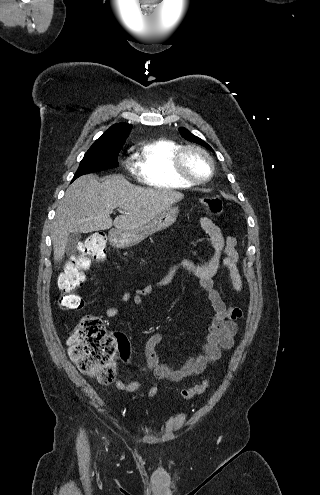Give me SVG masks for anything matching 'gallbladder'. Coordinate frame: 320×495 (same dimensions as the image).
<instances>
[{
  "mask_svg": "<svg viewBox=\"0 0 320 495\" xmlns=\"http://www.w3.org/2000/svg\"><path fill=\"white\" fill-rule=\"evenodd\" d=\"M81 238V234L79 232L70 233L67 239L66 252L68 254H73L76 250L77 243Z\"/></svg>",
  "mask_w": 320,
  "mask_h": 495,
  "instance_id": "1",
  "label": "gallbladder"
}]
</instances>
